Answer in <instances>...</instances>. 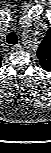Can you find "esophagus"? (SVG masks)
Here are the masks:
<instances>
[{
	"label": "esophagus",
	"instance_id": "obj_1",
	"mask_svg": "<svg viewBox=\"0 0 51 153\" xmlns=\"http://www.w3.org/2000/svg\"><path fill=\"white\" fill-rule=\"evenodd\" d=\"M19 49H21L20 44H16V45L12 46V51L19 50Z\"/></svg>",
	"mask_w": 51,
	"mask_h": 153
}]
</instances>
